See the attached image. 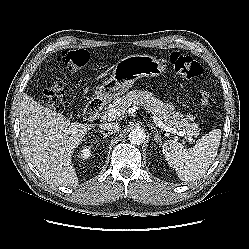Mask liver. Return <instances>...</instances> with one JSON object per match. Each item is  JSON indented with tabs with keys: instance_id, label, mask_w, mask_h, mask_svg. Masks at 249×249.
Returning <instances> with one entry per match:
<instances>
[{
	"instance_id": "6515ba94",
	"label": "liver",
	"mask_w": 249,
	"mask_h": 249,
	"mask_svg": "<svg viewBox=\"0 0 249 249\" xmlns=\"http://www.w3.org/2000/svg\"><path fill=\"white\" fill-rule=\"evenodd\" d=\"M19 122L23 151L39 173L56 185L76 186L72 156L93 125L71 123L26 93L19 104Z\"/></svg>"
}]
</instances>
